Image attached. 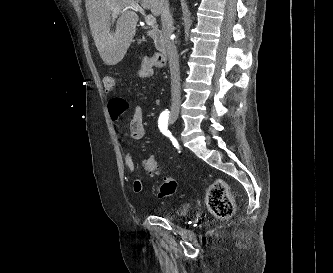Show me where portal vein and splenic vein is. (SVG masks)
I'll use <instances>...</instances> for the list:
<instances>
[{
  "label": "portal vein and splenic vein",
  "mask_w": 333,
  "mask_h": 273,
  "mask_svg": "<svg viewBox=\"0 0 333 273\" xmlns=\"http://www.w3.org/2000/svg\"><path fill=\"white\" fill-rule=\"evenodd\" d=\"M126 8L134 9L135 11H139L142 15H144L145 22L149 26H154L156 24V19L152 15H145L144 9L136 2H129ZM124 7H116L113 10L114 15L119 13Z\"/></svg>",
  "instance_id": "1"
}]
</instances>
